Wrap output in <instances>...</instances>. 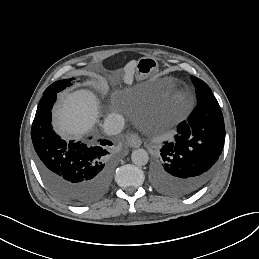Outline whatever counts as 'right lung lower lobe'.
<instances>
[{"label": "right lung lower lobe", "mask_w": 259, "mask_h": 259, "mask_svg": "<svg viewBox=\"0 0 259 259\" xmlns=\"http://www.w3.org/2000/svg\"><path fill=\"white\" fill-rule=\"evenodd\" d=\"M57 93L43 95L31 128L40 174L51 191L63 201L87 205L108 191L113 174L108 140L86 145L66 143L52 129L51 109Z\"/></svg>", "instance_id": "98d812e1"}]
</instances>
